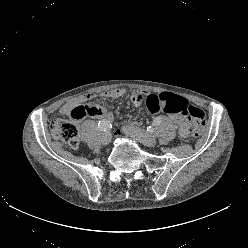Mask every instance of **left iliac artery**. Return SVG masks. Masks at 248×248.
I'll use <instances>...</instances> for the list:
<instances>
[{
	"instance_id": "44dca946",
	"label": "left iliac artery",
	"mask_w": 248,
	"mask_h": 248,
	"mask_svg": "<svg viewBox=\"0 0 248 248\" xmlns=\"http://www.w3.org/2000/svg\"><path fill=\"white\" fill-rule=\"evenodd\" d=\"M147 130H148L149 132H154V128H153L152 126H149V127L147 128Z\"/></svg>"
}]
</instances>
